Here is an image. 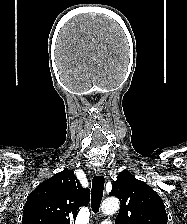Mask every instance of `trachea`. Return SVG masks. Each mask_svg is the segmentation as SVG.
I'll return each instance as SVG.
<instances>
[{
    "instance_id": "trachea-1",
    "label": "trachea",
    "mask_w": 187,
    "mask_h": 224,
    "mask_svg": "<svg viewBox=\"0 0 187 224\" xmlns=\"http://www.w3.org/2000/svg\"><path fill=\"white\" fill-rule=\"evenodd\" d=\"M104 190V176H94L92 180V190H91V207L94 213L98 212L100 203L103 197Z\"/></svg>"
}]
</instances>
